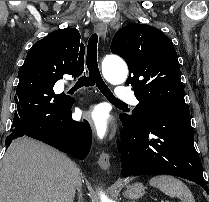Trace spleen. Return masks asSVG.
I'll use <instances>...</instances> for the list:
<instances>
[{"label":"spleen","mask_w":209,"mask_h":202,"mask_svg":"<svg viewBox=\"0 0 209 202\" xmlns=\"http://www.w3.org/2000/svg\"><path fill=\"white\" fill-rule=\"evenodd\" d=\"M149 184L170 197H177L182 202H195L189 188L179 179L168 175L152 177Z\"/></svg>","instance_id":"1"}]
</instances>
